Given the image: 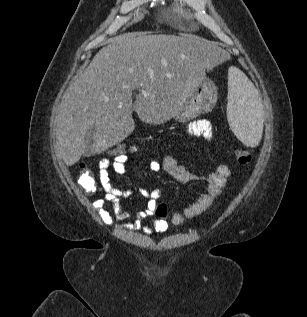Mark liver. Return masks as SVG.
I'll use <instances>...</instances> for the list:
<instances>
[{
    "label": "liver",
    "mask_w": 307,
    "mask_h": 317,
    "mask_svg": "<svg viewBox=\"0 0 307 317\" xmlns=\"http://www.w3.org/2000/svg\"><path fill=\"white\" fill-rule=\"evenodd\" d=\"M225 48L195 35L129 33L107 41L62 98L56 123L57 153L77 163L95 128L93 153H102L142 122L162 124L174 117L205 69L224 66ZM143 84V86H141ZM139 90L135 103L132 92Z\"/></svg>",
    "instance_id": "1"
}]
</instances>
